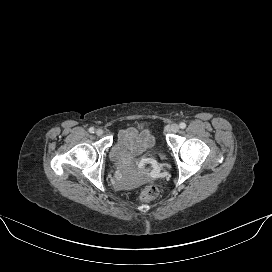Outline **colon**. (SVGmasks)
Instances as JSON below:
<instances>
[{
    "instance_id": "1",
    "label": "colon",
    "mask_w": 272,
    "mask_h": 272,
    "mask_svg": "<svg viewBox=\"0 0 272 272\" xmlns=\"http://www.w3.org/2000/svg\"><path fill=\"white\" fill-rule=\"evenodd\" d=\"M159 194V190L155 185H147L143 188L140 194V199L143 202H149L155 199Z\"/></svg>"
}]
</instances>
